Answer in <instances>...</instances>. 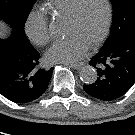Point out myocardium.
<instances>
[{"mask_svg":"<svg viewBox=\"0 0 135 135\" xmlns=\"http://www.w3.org/2000/svg\"><path fill=\"white\" fill-rule=\"evenodd\" d=\"M85 1L86 0H78L75 3L71 13L67 17V20L75 21L79 17L81 7H82V5ZM103 2L105 4V9H106L105 23H104V27H103L101 33L90 44L92 47H95V46L99 45L101 42H103L105 40V38L107 37V35L110 31L111 24H112V5H111V1L110 0H103Z\"/></svg>","mask_w":135,"mask_h":135,"instance_id":"f54148a6","label":"myocardium"}]
</instances>
